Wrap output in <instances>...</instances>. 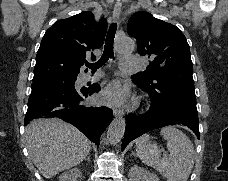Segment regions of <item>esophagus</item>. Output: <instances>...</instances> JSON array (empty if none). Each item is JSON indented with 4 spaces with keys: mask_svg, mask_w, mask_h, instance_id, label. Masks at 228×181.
I'll return each instance as SVG.
<instances>
[{
    "mask_svg": "<svg viewBox=\"0 0 228 181\" xmlns=\"http://www.w3.org/2000/svg\"><path fill=\"white\" fill-rule=\"evenodd\" d=\"M121 7L122 4L120 0L115 3L114 9H113V17L114 19H117L121 13ZM114 116H123L124 115V110L123 109H114L113 110Z\"/></svg>",
    "mask_w": 228,
    "mask_h": 181,
    "instance_id": "1",
    "label": "esophagus"
}]
</instances>
